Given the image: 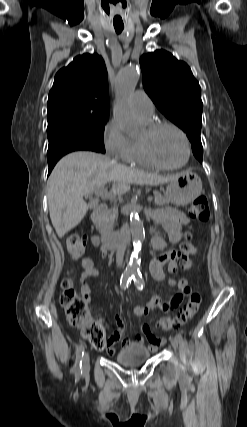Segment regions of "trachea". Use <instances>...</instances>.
Wrapping results in <instances>:
<instances>
[{"label": "trachea", "instance_id": "trachea-1", "mask_svg": "<svg viewBox=\"0 0 247 427\" xmlns=\"http://www.w3.org/2000/svg\"><path fill=\"white\" fill-rule=\"evenodd\" d=\"M116 33L120 34L124 28L123 25H114Z\"/></svg>", "mask_w": 247, "mask_h": 427}]
</instances>
